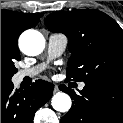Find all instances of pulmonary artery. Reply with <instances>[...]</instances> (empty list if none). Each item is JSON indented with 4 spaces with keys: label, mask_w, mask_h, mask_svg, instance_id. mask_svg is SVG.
<instances>
[{
    "label": "pulmonary artery",
    "mask_w": 123,
    "mask_h": 123,
    "mask_svg": "<svg viewBox=\"0 0 123 123\" xmlns=\"http://www.w3.org/2000/svg\"><path fill=\"white\" fill-rule=\"evenodd\" d=\"M68 44L67 37L62 33H52L48 38L47 53L49 59H54L59 57L66 49ZM45 67V64L36 65L30 69L21 70L18 73V79H23L25 77H33L41 72ZM84 83H80L79 88L83 89Z\"/></svg>",
    "instance_id": "e3ab8cb5"
}]
</instances>
